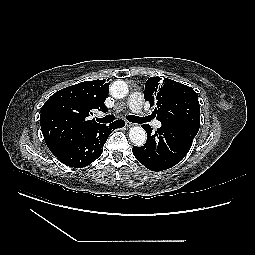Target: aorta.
I'll return each mask as SVG.
<instances>
[{
	"label": "aorta",
	"instance_id": "obj_1",
	"mask_svg": "<svg viewBox=\"0 0 255 255\" xmlns=\"http://www.w3.org/2000/svg\"><path fill=\"white\" fill-rule=\"evenodd\" d=\"M112 97L121 99L128 94V85L123 80H117L110 86ZM129 138L136 146H143L146 142V132L141 126H133L129 130Z\"/></svg>",
	"mask_w": 255,
	"mask_h": 255
}]
</instances>
